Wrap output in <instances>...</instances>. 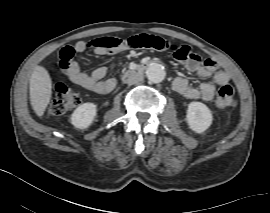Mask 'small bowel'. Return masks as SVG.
<instances>
[{
    "instance_id": "small-bowel-1",
    "label": "small bowel",
    "mask_w": 270,
    "mask_h": 213,
    "mask_svg": "<svg viewBox=\"0 0 270 213\" xmlns=\"http://www.w3.org/2000/svg\"><path fill=\"white\" fill-rule=\"evenodd\" d=\"M124 41L114 37L101 36L87 42L79 41L75 45L62 47L59 52L60 60H67L70 63V68L64 69V73L71 81L94 93L107 94L111 92L116 86V80L105 78L107 71L104 67H98L87 74L80 69L74 56L83 53L88 48L93 49L98 56L117 55L128 49ZM168 48L174 52L175 44L169 43ZM182 63L188 71L195 73L198 78L202 80L211 78L209 81H203L199 86H192L186 78L177 77L173 82V89L186 98L212 100L217 87H222L230 82L229 73L220 69L214 59H209L203 64L194 62L191 58L190 49Z\"/></svg>"
}]
</instances>
